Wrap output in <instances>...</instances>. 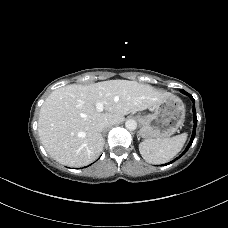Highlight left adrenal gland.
I'll return each instance as SVG.
<instances>
[{"label": "left adrenal gland", "instance_id": "left-adrenal-gland-1", "mask_svg": "<svg viewBox=\"0 0 228 228\" xmlns=\"http://www.w3.org/2000/svg\"><path fill=\"white\" fill-rule=\"evenodd\" d=\"M137 136H138V140H140L139 134Z\"/></svg>", "mask_w": 228, "mask_h": 228}]
</instances>
